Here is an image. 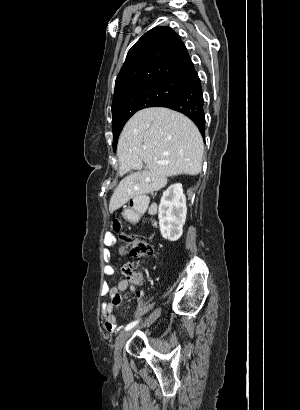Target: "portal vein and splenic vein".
Masks as SVG:
<instances>
[{
	"instance_id": "18ae733b",
	"label": "portal vein and splenic vein",
	"mask_w": 300,
	"mask_h": 410,
	"mask_svg": "<svg viewBox=\"0 0 300 410\" xmlns=\"http://www.w3.org/2000/svg\"><path fill=\"white\" fill-rule=\"evenodd\" d=\"M156 163H158V164H163L164 162H161V161H155Z\"/></svg>"
}]
</instances>
